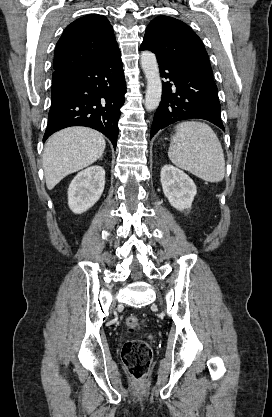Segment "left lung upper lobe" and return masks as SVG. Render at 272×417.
<instances>
[{"mask_svg": "<svg viewBox=\"0 0 272 417\" xmlns=\"http://www.w3.org/2000/svg\"><path fill=\"white\" fill-rule=\"evenodd\" d=\"M141 48L154 52L157 60L185 64L213 76L201 39L188 25L175 18L159 16L151 21Z\"/></svg>", "mask_w": 272, "mask_h": 417, "instance_id": "5c2ea615", "label": "left lung upper lobe"}]
</instances>
